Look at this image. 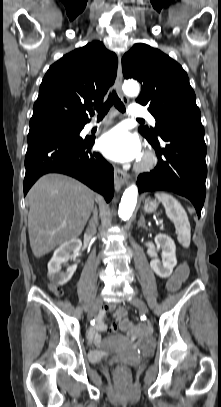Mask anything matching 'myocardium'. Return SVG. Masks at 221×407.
Wrapping results in <instances>:
<instances>
[{
    "instance_id": "obj_1",
    "label": "myocardium",
    "mask_w": 221,
    "mask_h": 407,
    "mask_svg": "<svg viewBox=\"0 0 221 407\" xmlns=\"http://www.w3.org/2000/svg\"><path fill=\"white\" fill-rule=\"evenodd\" d=\"M157 163L158 158L156 153L152 150H147L138 162L136 169L141 172H147L154 169Z\"/></svg>"
}]
</instances>
